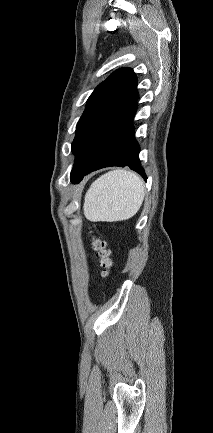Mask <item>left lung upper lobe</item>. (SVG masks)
<instances>
[{
  "mask_svg": "<svg viewBox=\"0 0 213 433\" xmlns=\"http://www.w3.org/2000/svg\"><path fill=\"white\" fill-rule=\"evenodd\" d=\"M137 97V78L130 68L116 70L95 88L76 126L71 178L95 157Z\"/></svg>",
  "mask_w": 213,
  "mask_h": 433,
  "instance_id": "1",
  "label": "left lung upper lobe"
}]
</instances>
